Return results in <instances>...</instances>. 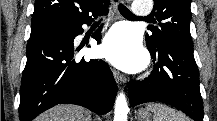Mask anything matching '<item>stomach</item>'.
I'll list each match as a JSON object with an SVG mask.
<instances>
[{
  "mask_svg": "<svg viewBox=\"0 0 217 121\" xmlns=\"http://www.w3.org/2000/svg\"><path fill=\"white\" fill-rule=\"evenodd\" d=\"M137 117L139 121H150L151 114L148 109H139Z\"/></svg>",
  "mask_w": 217,
  "mask_h": 121,
  "instance_id": "stomach-1",
  "label": "stomach"
}]
</instances>
